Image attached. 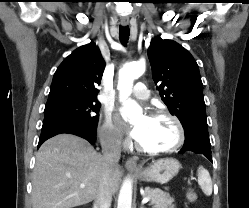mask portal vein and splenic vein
Returning a JSON list of instances; mask_svg holds the SVG:
<instances>
[{"instance_id": "portal-vein-and-splenic-vein-1", "label": "portal vein and splenic vein", "mask_w": 249, "mask_h": 208, "mask_svg": "<svg viewBox=\"0 0 249 208\" xmlns=\"http://www.w3.org/2000/svg\"><path fill=\"white\" fill-rule=\"evenodd\" d=\"M80 187H81V188H84L85 185H84V184H81ZM149 200H150L149 197H144L143 200H142V203H143V204H144V203H147Z\"/></svg>"}]
</instances>
